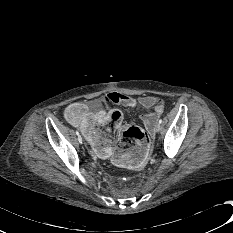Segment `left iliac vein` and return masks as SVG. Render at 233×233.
<instances>
[{
    "mask_svg": "<svg viewBox=\"0 0 233 233\" xmlns=\"http://www.w3.org/2000/svg\"><path fill=\"white\" fill-rule=\"evenodd\" d=\"M161 128H162L161 124H160V123H157V124L155 125L154 130H155V132H159V131L161 130Z\"/></svg>",
    "mask_w": 233,
    "mask_h": 233,
    "instance_id": "obj_1",
    "label": "left iliac vein"
}]
</instances>
